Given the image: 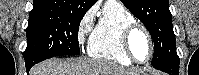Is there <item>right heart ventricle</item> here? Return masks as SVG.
Instances as JSON below:
<instances>
[{
    "label": "right heart ventricle",
    "mask_w": 199,
    "mask_h": 75,
    "mask_svg": "<svg viewBox=\"0 0 199 75\" xmlns=\"http://www.w3.org/2000/svg\"><path fill=\"white\" fill-rule=\"evenodd\" d=\"M132 22H135V17L122 5L105 6L89 38V56L124 66L131 65L132 61L122 45L121 32Z\"/></svg>",
    "instance_id": "1"
}]
</instances>
